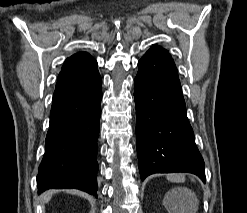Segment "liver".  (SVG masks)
I'll return each mask as SVG.
<instances>
[{
	"instance_id": "1",
	"label": "liver",
	"mask_w": 247,
	"mask_h": 213,
	"mask_svg": "<svg viewBox=\"0 0 247 213\" xmlns=\"http://www.w3.org/2000/svg\"><path fill=\"white\" fill-rule=\"evenodd\" d=\"M51 197H52V192H47L44 194L43 198L45 202H48L51 199Z\"/></svg>"
}]
</instances>
